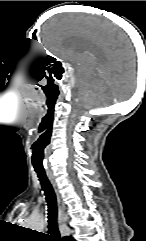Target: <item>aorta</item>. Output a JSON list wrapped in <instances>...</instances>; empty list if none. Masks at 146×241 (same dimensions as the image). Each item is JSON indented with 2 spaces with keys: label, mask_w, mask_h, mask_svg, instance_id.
<instances>
[{
  "label": "aorta",
  "mask_w": 146,
  "mask_h": 241,
  "mask_svg": "<svg viewBox=\"0 0 146 241\" xmlns=\"http://www.w3.org/2000/svg\"><path fill=\"white\" fill-rule=\"evenodd\" d=\"M44 218L40 215H34L25 221L24 225L32 230H42L44 228Z\"/></svg>",
  "instance_id": "762f6f07"
}]
</instances>
